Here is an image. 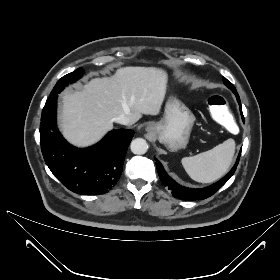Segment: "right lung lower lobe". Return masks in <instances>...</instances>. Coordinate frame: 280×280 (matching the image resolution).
Instances as JSON below:
<instances>
[{"mask_svg":"<svg viewBox=\"0 0 280 280\" xmlns=\"http://www.w3.org/2000/svg\"><path fill=\"white\" fill-rule=\"evenodd\" d=\"M57 95L42 111L40 144L45 163L69 190L81 195L105 194L118 182L133 130H113L98 144L78 149L56 127Z\"/></svg>","mask_w":280,"mask_h":280,"instance_id":"right-lung-lower-lobe-1","label":"right lung lower lobe"}]
</instances>
